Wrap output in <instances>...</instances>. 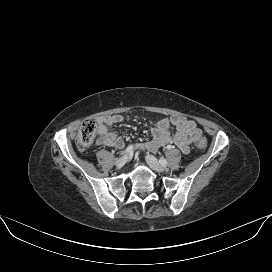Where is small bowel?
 <instances>
[{"instance_id": "1", "label": "small bowel", "mask_w": 272, "mask_h": 272, "mask_svg": "<svg viewBox=\"0 0 272 272\" xmlns=\"http://www.w3.org/2000/svg\"><path fill=\"white\" fill-rule=\"evenodd\" d=\"M123 117L119 114L99 117L98 130L99 138L97 144L121 149L125 142L121 137L109 130V127L120 123ZM170 126L175 128V132H170ZM202 137V131L197 124L183 116L174 115L170 119L163 118L156 122L152 129V139L136 147L147 149L150 152H157L159 148L167 145H176L184 154L190 151V144L198 141Z\"/></svg>"}]
</instances>
